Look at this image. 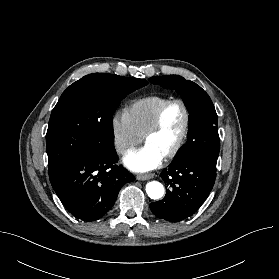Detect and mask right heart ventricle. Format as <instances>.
I'll use <instances>...</instances> for the list:
<instances>
[{
	"label": "right heart ventricle",
	"mask_w": 279,
	"mask_h": 279,
	"mask_svg": "<svg viewBox=\"0 0 279 279\" xmlns=\"http://www.w3.org/2000/svg\"><path fill=\"white\" fill-rule=\"evenodd\" d=\"M169 99L162 95H149L133 100L126 107L125 112L139 134H144L159 107Z\"/></svg>",
	"instance_id": "1"
}]
</instances>
